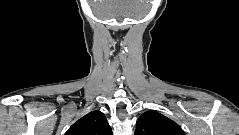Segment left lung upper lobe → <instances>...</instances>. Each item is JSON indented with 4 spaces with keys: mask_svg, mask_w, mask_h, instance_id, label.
Returning a JSON list of instances; mask_svg holds the SVG:
<instances>
[{
    "mask_svg": "<svg viewBox=\"0 0 239 135\" xmlns=\"http://www.w3.org/2000/svg\"><path fill=\"white\" fill-rule=\"evenodd\" d=\"M135 135H185V133L168 117L156 111H147L138 118Z\"/></svg>",
    "mask_w": 239,
    "mask_h": 135,
    "instance_id": "obj_1",
    "label": "left lung upper lobe"
}]
</instances>
